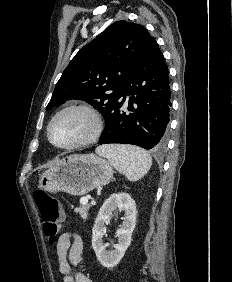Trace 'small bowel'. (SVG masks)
<instances>
[{
	"label": "small bowel",
	"mask_w": 232,
	"mask_h": 282,
	"mask_svg": "<svg viewBox=\"0 0 232 282\" xmlns=\"http://www.w3.org/2000/svg\"><path fill=\"white\" fill-rule=\"evenodd\" d=\"M56 254L63 282H92L87 275L79 271L83 256V241L77 233L61 234L56 244Z\"/></svg>",
	"instance_id": "c3829d8e"
}]
</instances>
